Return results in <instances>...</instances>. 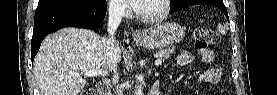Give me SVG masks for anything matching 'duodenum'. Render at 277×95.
Returning a JSON list of instances; mask_svg holds the SVG:
<instances>
[{
	"mask_svg": "<svg viewBox=\"0 0 277 95\" xmlns=\"http://www.w3.org/2000/svg\"><path fill=\"white\" fill-rule=\"evenodd\" d=\"M97 94L100 95H110V86L108 83H100L97 86ZM151 95H160V83L159 81H154L151 85L150 90Z\"/></svg>",
	"mask_w": 277,
	"mask_h": 95,
	"instance_id": "obj_1",
	"label": "duodenum"
}]
</instances>
